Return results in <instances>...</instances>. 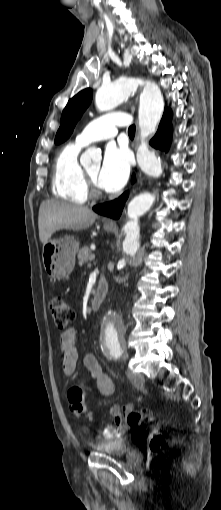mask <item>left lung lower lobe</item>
<instances>
[{"instance_id": "obj_1", "label": "left lung lower lobe", "mask_w": 221, "mask_h": 510, "mask_svg": "<svg viewBox=\"0 0 221 510\" xmlns=\"http://www.w3.org/2000/svg\"><path fill=\"white\" fill-rule=\"evenodd\" d=\"M172 112L170 109H165L163 117L158 127V131L150 141V144L164 151H168L172 138V125H171ZM135 181V176L132 177V182ZM128 197V192H125L118 199L96 205L93 210L101 215L119 218L124 206V202Z\"/></svg>"}]
</instances>
